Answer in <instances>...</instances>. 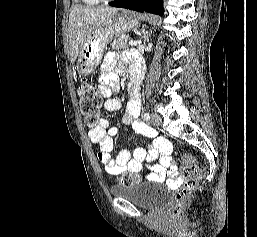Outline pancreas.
<instances>
[{
	"instance_id": "1",
	"label": "pancreas",
	"mask_w": 257,
	"mask_h": 237,
	"mask_svg": "<svg viewBox=\"0 0 257 237\" xmlns=\"http://www.w3.org/2000/svg\"><path fill=\"white\" fill-rule=\"evenodd\" d=\"M128 40H129L128 38L115 40L113 41V43H111V48L113 50H121V49L126 50L129 47Z\"/></svg>"
}]
</instances>
